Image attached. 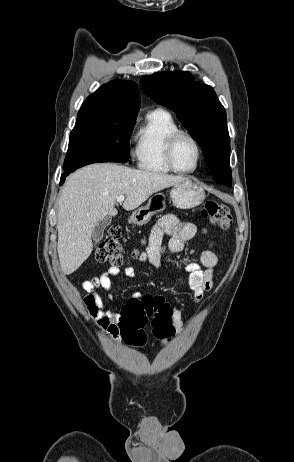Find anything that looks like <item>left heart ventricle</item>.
Returning <instances> with one entry per match:
<instances>
[{"instance_id":"obj_1","label":"left heart ventricle","mask_w":294,"mask_h":462,"mask_svg":"<svg viewBox=\"0 0 294 462\" xmlns=\"http://www.w3.org/2000/svg\"><path fill=\"white\" fill-rule=\"evenodd\" d=\"M197 159V152L193 143L186 139L181 138L174 148V161L180 169H191L195 166Z\"/></svg>"}]
</instances>
